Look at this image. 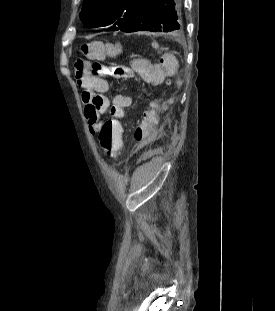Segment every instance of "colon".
Returning <instances> with one entry per match:
<instances>
[{
    "mask_svg": "<svg viewBox=\"0 0 275 311\" xmlns=\"http://www.w3.org/2000/svg\"><path fill=\"white\" fill-rule=\"evenodd\" d=\"M104 48L105 45L102 42H88L82 44L80 47L81 54L87 59L94 60V62L88 66L85 59H77L75 62L77 74L80 75L89 70L93 75H102L108 72V74L112 76L124 77L126 72L122 66L116 64L106 66L97 61L105 55ZM165 56L173 55L165 54ZM121 123L122 120L120 118H105V123H103L96 134L101 148L110 158H116L120 154L123 146V140L118 131L122 128Z\"/></svg>",
    "mask_w": 275,
    "mask_h": 311,
    "instance_id": "obj_1",
    "label": "colon"
}]
</instances>
